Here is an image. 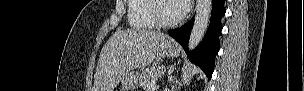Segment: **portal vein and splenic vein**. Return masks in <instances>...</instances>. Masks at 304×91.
Segmentation results:
<instances>
[{
  "mask_svg": "<svg viewBox=\"0 0 304 91\" xmlns=\"http://www.w3.org/2000/svg\"><path fill=\"white\" fill-rule=\"evenodd\" d=\"M158 87H156V85L154 84L153 86H151L149 89L150 91H155Z\"/></svg>",
  "mask_w": 304,
  "mask_h": 91,
  "instance_id": "obj_1",
  "label": "portal vein and splenic vein"
}]
</instances>
